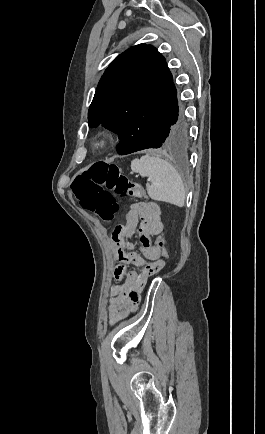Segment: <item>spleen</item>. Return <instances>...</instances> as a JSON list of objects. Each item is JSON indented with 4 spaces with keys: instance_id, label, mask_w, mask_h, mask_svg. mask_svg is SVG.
Segmentation results:
<instances>
[{
    "instance_id": "1",
    "label": "spleen",
    "mask_w": 265,
    "mask_h": 434,
    "mask_svg": "<svg viewBox=\"0 0 265 434\" xmlns=\"http://www.w3.org/2000/svg\"><path fill=\"white\" fill-rule=\"evenodd\" d=\"M132 172L142 178H149L151 186L147 188L148 196L157 202H169L182 208L185 204L184 184L175 168L159 156H142L140 160H132Z\"/></svg>"
}]
</instances>
